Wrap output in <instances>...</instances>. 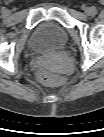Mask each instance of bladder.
<instances>
[{
    "label": "bladder",
    "instance_id": "bladder-1",
    "mask_svg": "<svg viewBox=\"0 0 104 137\" xmlns=\"http://www.w3.org/2000/svg\"><path fill=\"white\" fill-rule=\"evenodd\" d=\"M64 35L61 32H55L54 34H52L51 40L54 42H60L61 40H63Z\"/></svg>",
    "mask_w": 104,
    "mask_h": 137
}]
</instances>
